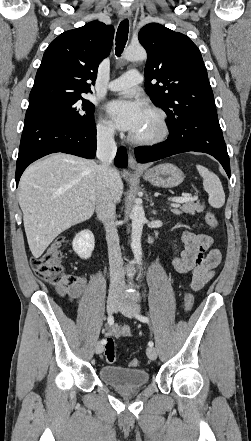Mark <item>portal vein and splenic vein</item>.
<instances>
[{"label": "portal vein and splenic vein", "instance_id": "portal-vein-and-splenic-vein-1", "mask_svg": "<svg viewBox=\"0 0 251 441\" xmlns=\"http://www.w3.org/2000/svg\"><path fill=\"white\" fill-rule=\"evenodd\" d=\"M169 200L175 203H184L193 200V198L191 196H182V197L169 198Z\"/></svg>", "mask_w": 251, "mask_h": 441}]
</instances>
